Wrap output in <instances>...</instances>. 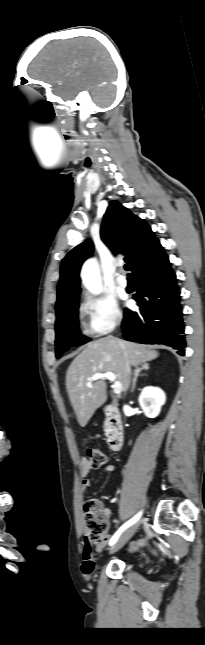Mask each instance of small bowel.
Wrapping results in <instances>:
<instances>
[{
	"label": "small bowel",
	"mask_w": 205,
	"mask_h": 645,
	"mask_svg": "<svg viewBox=\"0 0 205 645\" xmlns=\"http://www.w3.org/2000/svg\"><path fill=\"white\" fill-rule=\"evenodd\" d=\"M93 467L91 464L88 462L86 458H82L80 462V468H79V473L81 476V485L84 489L88 488L91 485V481L89 479V474L92 471ZM107 471H113L114 466L113 465H107L106 466ZM105 517L107 519V522L110 521L111 519V511L109 509L104 510ZM146 544L145 540H138L131 545V550L136 551L139 547L143 546ZM100 550V549H99ZM83 564L87 565L89 567H93L95 564V554L92 551V549L88 548L87 545L85 544L84 550H83Z\"/></svg>",
	"instance_id": "obj_1"
}]
</instances>
